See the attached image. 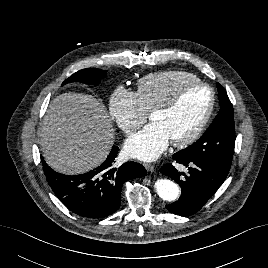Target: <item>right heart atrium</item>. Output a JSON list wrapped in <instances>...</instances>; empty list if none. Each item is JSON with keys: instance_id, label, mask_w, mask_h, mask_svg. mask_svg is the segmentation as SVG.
Returning <instances> with one entry per match:
<instances>
[{"instance_id": "d8ad5b80", "label": "right heart atrium", "mask_w": 268, "mask_h": 268, "mask_svg": "<svg viewBox=\"0 0 268 268\" xmlns=\"http://www.w3.org/2000/svg\"><path fill=\"white\" fill-rule=\"evenodd\" d=\"M108 108L111 118L126 134L139 128L147 117L139 94L124 87L115 89L109 99Z\"/></svg>"}]
</instances>
